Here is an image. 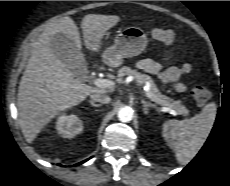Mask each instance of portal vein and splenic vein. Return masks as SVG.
Wrapping results in <instances>:
<instances>
[{
    "mask_svg": "<svg viewBox=\"0 0 230 186\" xmlns=\"http://www.w3.org/2000/svg\"><path fill=\"white\" fill-rule=\"evenodd\" d=\"M94 84L99 88H109V89L113 88L115 86V82H113L111 80H107V79H101V78L95 79ZM148 86H149V84H148ZM145 95L149 99H151L152 101L156 102L157 104L162 105V106H166L165 109L167 111H173L172 105H168L163 100L156 98L149 91H146Z\"/></svg>",
    "mask_w": 230,
    "mask_h": 186,
    "instance_id": "obj_1",
    "label": "portal vein and splenic vein"
}]
</instances>
